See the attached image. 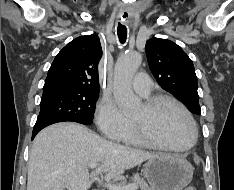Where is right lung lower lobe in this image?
Wrapping results in <instances>:
<instances>
[{
  "label": "right lung lower lobe",
  "instance_id": "right-lung-lower-lobe-1",
  "mask_svg": "<svg viewBox=\"0 0 234 190\" xmlns=\"http://www.w3.org/2000/svg\"><path fill=\"white\" fill-rule=\"evenodd\" d=\"M39 131H40V130H33L32 139L35 137V135H36Z\"/></svg>",
  "mask_w": 234,
  "mask_h": 190
}]
</instances>
